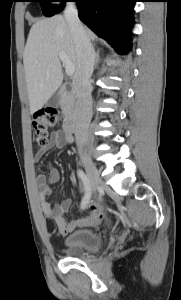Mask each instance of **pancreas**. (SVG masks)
I'll return each mask as SVG.
<instances>
[{"label": "pancreas", "mask_w": 181, "mask_h": 300, "mask_svg": "<svg viewBox=\"0 0 181 300\" xmlns=\"http://www.w3.org/2000/svg\"><path fill=\"white\" fill-rule=\"evenodd\" d=\"M73 97L70 94H66L61 99V108L65 115L70 114L73 111Z\"/></svg>", "instance_id": "obj_1"}]
</instances>
